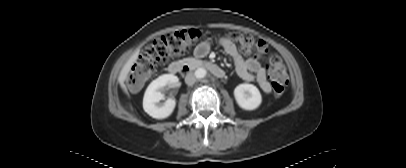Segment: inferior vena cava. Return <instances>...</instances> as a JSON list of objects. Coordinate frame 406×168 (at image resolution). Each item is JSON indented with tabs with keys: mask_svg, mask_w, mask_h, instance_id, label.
Returning a JSON list of instances; mask_svg holds the SVG:
<instances>
[{
	"mask_svg": "<svg viewBox=\"0 0 406 168\" xmlns=\"http://www.w3.org/2000/svg\"><path fill=\"white\" fill-rule=\"evenodd\" d=\"M196 81L195 75L191 72L187 73L185 77V83L189 86L193 85Z\"/></svg>",
	"mask_w": 406,
	"mask_h": 168,
	"instance_id": "1",
	"label": "inferior vena cava"
}]
</instances>
